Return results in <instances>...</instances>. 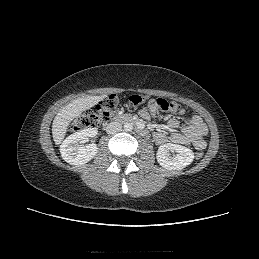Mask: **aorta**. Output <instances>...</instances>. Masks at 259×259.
I'll return each instance as SVG.
<instances>
[{
  "mask_svg": "<svg viewBox=\"0 0 259 259\" xmlns=\"http://www.w3.org/2000/svg\"><path fill=\"white\" fill-rule=\"evenodd\" d=\"M124 130H125L126 132H131V131L133 130V125H132V123H125V124H124Z\"/></svg>",
  "mask_w": 259,
  "mask_h": 259,
  "instance_id": "762f6f07",
  "label": "aorta"
}]
</instances>
